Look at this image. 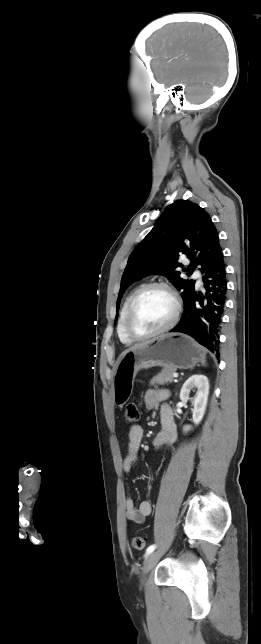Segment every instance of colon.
Segmentation results:
<instances>
[{
	"instance_id": "colon-1",
	"label": "colon",
	"mask_w": 261,
	"mask_h": 644,
	"mask_svg": "<svg viewBox=\"0 0 261 644\" xmlns=\"http://www.w3.org/2000/svg\"><path fill=\"white\" fill-rule=\"evenodd\" d=\"M140 419V410L136 403H128L125 409V420L129 424H134ZM132 546L135 549L142 550L145 547V539L140 535L132 538Z\"/></svg>"
}]
</instances>
